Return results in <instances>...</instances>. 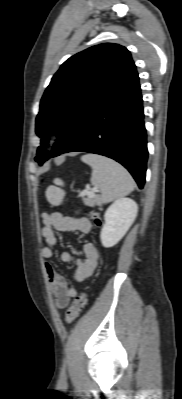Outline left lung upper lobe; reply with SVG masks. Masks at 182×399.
I'll return each mask as SVG.
<instances>
[{
	"label": "left lung upper lobe",
	"instance_id": "left-lung-upper-lobe-1",
	"mask_svg": "<svg viewBox=\"0 0 182 399\" xmlns=\"http://www.w3.org/2000/svg\"><path fill=\"white\" fill-rule=\"evenodd\" d=\"M138 75L130 52L117 44L90 47L65 61L40 102L36 133L42 137L35 160L58 156L83 131L93 115ZM57 134L50 156L46 136Z\"/></svg>",
	"mask_w": 182,
	"mask_h": 399
}]
</instances>
